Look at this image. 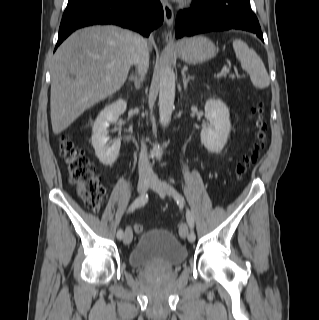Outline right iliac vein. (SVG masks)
Listing matches in <instances>:
<instances>
[{"label":"right iliac vein","mask_w":319,"mask_h":320,"mask_svg":"<svg viewBox=\"0 0 319 320\" xmlns=\"http://www.w3.org/2000/svg\"><path fill=\"white\" fill-rule=\"evenodd\" d=\"M151 183V179L150 178H140L137 184V191L141 194L145 193L149 187ZM132 231L131 229L128 227L125 230V234H124V238H123V242L125 245H129L132 241Z\"/></svg>","instance_id":"63e3f726"}]
</instances>
